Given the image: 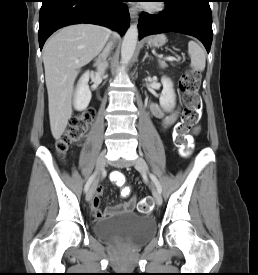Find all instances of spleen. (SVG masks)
I'll return each mask as SVG.
<instances>
[{"instance_id":"3e777b00","label":"spleen","mask_w":258,"mask_h":275,"mask_svg":"<svg viewBox=\"0 0 258 275\" xmlns=\"http://www.w3.org/2000/svg\"><path fill=\"white\" fill-rule=\"evenodd\" d=\"M188 54L191 58V67L195 70L203 71L206 65L204 50L195 41L188 43Z\"/></svg>"}]
</instances>
